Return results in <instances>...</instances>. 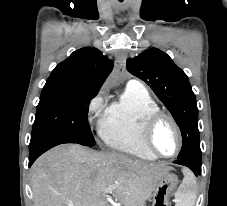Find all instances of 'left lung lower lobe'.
<instances>
[{
	"instance_id": "obj_1",
	"label": "left lung lower lobe",
	"mask_w": 227,
	"mask_h": 206,
	"mask_svg": "<svg viewBox=\"0 0 227 206\" xmlns=\"http://www.w3.org/2000/svg\"><path fill=\"white\" fill-rule=\"evenodd\" d=\"M173 163L180 164L190 168L196 176H199L201 174V161L183 158V159H177Z\"/></svg>"
}]
</instances>
